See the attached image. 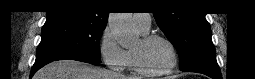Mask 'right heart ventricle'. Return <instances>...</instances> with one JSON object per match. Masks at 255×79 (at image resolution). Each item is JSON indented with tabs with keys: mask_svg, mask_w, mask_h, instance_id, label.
Returning <instances> with one entry per match:
<instances>
[{
	"mask_svg": "<svg viewBox=\"0 0 255 79\" xmlns=\"http://www.w3.org/2000/svg\"><path fill=\"white\" fill-rule=\"evenodd\" d=\"M142 32V31H141ZM143 34H145L144 32H142ZM127 57H128V63H127V66L130 68V69H133L134 66H133V59H132V53L131 51H127Z\"/></svg>",
	"mask_w": 255,
	"mask_h": 79,
	"instance_id": "1",
	"label": "right heart ventricle"
}]
</instances>
